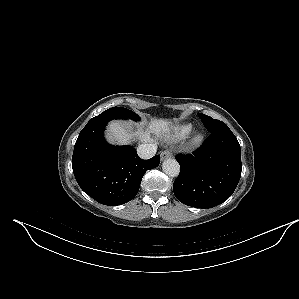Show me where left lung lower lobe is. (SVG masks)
<instances>
[{"instance_id":"left-lung-lower-lobe-1","label":"left lung lower lobe","mask_w":299,"mask_h":299,"mask_svg":"<svg viewBox=\"0 0 299 299\" xmlns=\"http://www.w3.org/2000/svg\"><path fill=\"white\" fill-rule=\"evenodd\" d=\"M192 155L176 156L180 174L173 184L176 198L191 207L212 208L227 200L241 177L240 145L225 124L210 132Z\"/></svg>"}]
</instances>
